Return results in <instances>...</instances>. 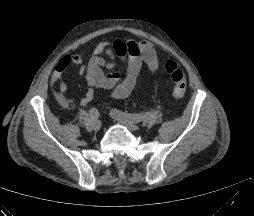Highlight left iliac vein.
<instances>
[{
  "label": "left iliac vein",
  "mask_w": 254,
  "mask_h": 216,
  "mask_svg": "<svg viewBox=\"0 0 254 216\" xmlns=\"http://www.w3.org/2000/svg\"><path fill=\"white\" fill-rule=\"evenodd\" d=\"M111 116L113 119H115L117 122L127 126L129 129L131 130H138V125L132 121V120H129V119H126V118H122V117H119L117 116L116 114H114L113 112L111 113Z\"/></svg>",
  "instance_id": "1"
}]
</instances>
